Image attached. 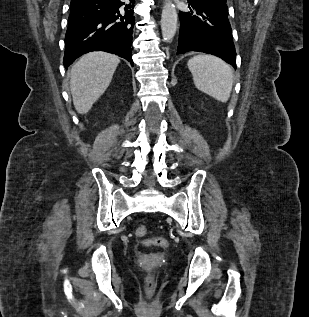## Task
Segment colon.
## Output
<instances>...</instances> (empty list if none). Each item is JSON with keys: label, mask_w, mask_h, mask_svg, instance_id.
<instances>
[{"label": "colon", "mask_w": 309, "mask_h": 317, "mask_svg": "<svg viewBox=\"0 0 309 317\" xmlns=\"http://www.w3.org/2000/svg\"><path fill=\"white\" fill-rule=\"evenodd\" d=\"M147 234V228L143 225L138 226L135 229V235L139 238L144 237ZM143 244L146 246H158L162 248H167L169 243L163 237H154L143 241ZM146 294L148 297H151L155 291V279L152 274H148L146 277Z\"/></svg>", "instance_id": "5ec220e1"}]
</instances>
